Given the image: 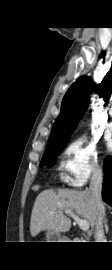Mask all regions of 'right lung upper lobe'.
Here are the masks:
<instances>
[{"instance_id": "obj_1", "label": "right lung upper lobe", "mask_w": 112, "mask_h": 270, "mask_svg": "<svg viewBox=\"0 0 112 270\" xmlns=\"http://www.w3.org/2000/svg\"><path fill=\"white\" fill-rule=\"evenodd\" d=\"M93 90L104 99L105 104L108 103V99L112 98V69L98 85H94L92 79L85 76L70 86L62 100L61 112L54 123L48 144L68 141L87 109L88 95Z\"/></svg>"}]
</instances>
